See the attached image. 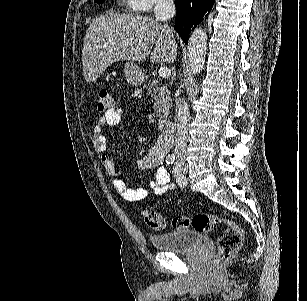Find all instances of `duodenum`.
Segmentation results:
<instances>
[{"label":"duodenum","mask_w":307,"mask_h":301,"mask_svg":"<svg viewBox=\"0 0 307 301\" xmlns=\"http://www.w3.org/2000/svg\"><path fill=\"white\" fill-rule=\"evenodd\" d=\"M159 128L162 132L170 134L175 131L176 122L171 116H164L158 122Z\"/></svg>","instance_id":"duodenum-1"}]
</instances>
